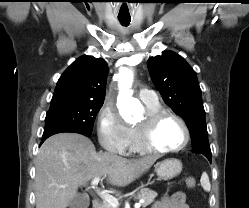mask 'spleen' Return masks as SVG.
Returning a JSON list of instances; mask_svg holds the SVG:
<instances>
[{"instance_id":"3e777b00","label":"spleen","mask_w":249,"mask_h":208,"mask_svg":"<svg viewBox=\"0 0 249 208\" xmlns=\"http://www.w3.org/2000/svg\"><path fill=\"white\" fill-rule=\"evenodd\" d=\"M200 182H201V186L203 187V189L206 192H209L211 190V185H210L209 177H208V175H207L206 172H203V174L201 176V179H200Z\"/></svg>"}]
</instances>
